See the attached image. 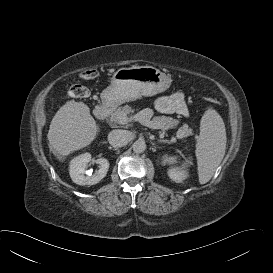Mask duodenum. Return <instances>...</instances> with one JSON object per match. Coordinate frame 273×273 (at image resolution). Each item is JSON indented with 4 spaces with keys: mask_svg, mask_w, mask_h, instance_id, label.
<instances>
[{
    "mask_svg": "<svg viewBox=\"0 0 273 273\" xmlns=\"http://www.w3.org/2000/svg\"><path fill=\"white\" fill-rule=\"evenodd\" d=\"M108 113H109V110L104 105H99L95 109L96 116L101 120H104L107 117Z\"/></svg>",
    "mask_w": 273,
    "mask_h": 273,
    "instance_id": "1",
    "label": "duodenum"
}]
</instances>
